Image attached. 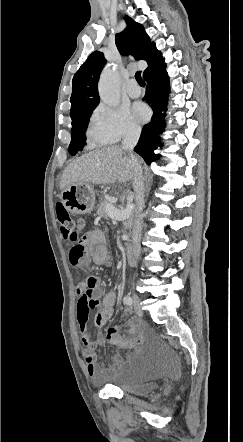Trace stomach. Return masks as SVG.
Returning <instances> with one entry per match:
<instances>
[{
    "label": "stomach",
    "mask_w": 243,
    "mask_h": 442,
    "mask_svg": "<svg viewBox=\"0 0 243 442\" xmlns=\"http://www.w3.org/2000/svg\"><path fill=\"white\" fill-rule=\"evenodd\" d=\"M60 199L65 208L71 213L89 214L94 208L95 191L88 183H75L61 192Z\"/></svg>",
    "instance_id": "1"
}]
</instances>
